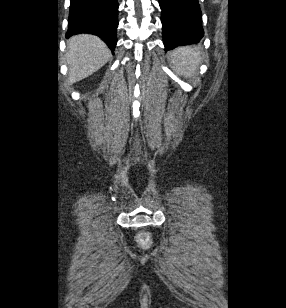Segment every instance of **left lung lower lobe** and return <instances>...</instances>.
Here are the masks:
<instances>
[{
  "label": "left lung lower lobe",
  "mask_w": 286,
  "mask_h": 308,
  "mask_svg": "<svg viewBox=\"0 0 286 308\" xmlns=\"http://www.w3.org/2000/svg\"><path fill=\"white\" fill-rule=\"evenodd\" d=\"M165 51L196 44L204 36L198 0H159Z\"/></svg>",
  "instance_id": "left-lung-lower-lobe-1"
}]
</instances>
